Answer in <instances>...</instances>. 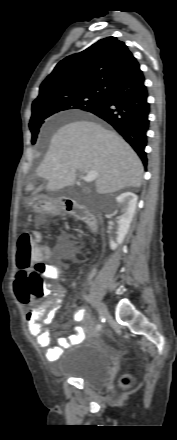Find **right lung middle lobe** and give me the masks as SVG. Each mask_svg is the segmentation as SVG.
Listing matches in <instances>:
<instances>
[{
    "label": "right lung middle lobe",
    "instance_id": "1",
    "mask_svg": "<svg viewBox=\"0 0 177 440\" xmlns=\"http://www.w3.org/2000/svg\"><path fill=\"white\" fill-rule=\"evenodd\" d=\"M102 94H66L39 107L32 108L29 128L32 133V144H35L39 129L44 120L60 111L80 109L87 111L102 100Z\"/></svg>",
    "mask_w": 177,
    "mask_h": 440
}]
</instances>
